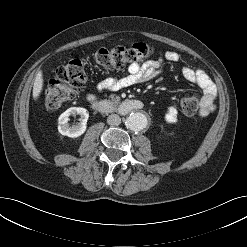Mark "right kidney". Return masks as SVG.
Wrapping results in <instances>:
<instances>
[{
	"mask_svg": "<svg viewBox=\"0 0 247 247\" xmlns=\"http://www.w3.org/2000/svg\"><path fill=\"white\" fill-rule=\"evenodd\" d=\"M70 115H79L80 123L70 126L68 123ZM88 118L89 113L85 108L71 107L59 116L58 131L64 136L72 138L79 137L86 131Z\"/></svg>",
	"mask_w": 247,
	"mask_h": 247,
	"instance_id": "1",
	"label": "right kidney"
}]
</instances>
